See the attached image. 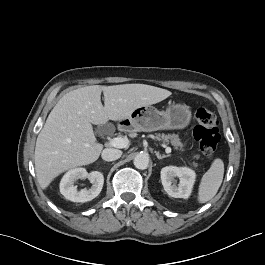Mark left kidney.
<instances>
[{
  "instance_id": "1",
  "label": "left kidney",
  "mask_w": 265,
  "mask_h": 265,
  "mask_svg": "<svg viewBox=\"0 0 265 265\" xmlns=\"http://www.w3.org/2000/svg\"><path fill=\"white\" fill-rule=\"evenodd\" d=\"M175 177L179 178L176 185ZM195 172L187 167L166 166L161 169V181L167 194L174 198H188L195 182Z\"/></svg>"
}]
</instances>
